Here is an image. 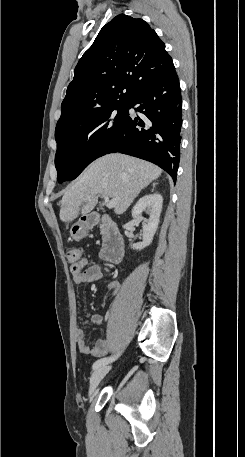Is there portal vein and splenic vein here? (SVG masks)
Returning <instances> with one entry per match:
<instances>
[{
    "label": "portal vein and splenic vein",
    "instance_id": "portal-vein-and-splenic-vein-1",
    "mask_svg": "<svg viewBox=\"0 0 245 457\" xmlns=\"http://www.w3.org/2000/svg\"><path fill=\"white\" fill-rule=\"evenodd\" d=\"M103 196L108 208H113V206H116L117 198H111V200H109V196H107V194H103ZM87 200H90V198H87Z\"/></svg>",
    "mask_w": 245,
    "mask_h": 457
}]
</instances>
